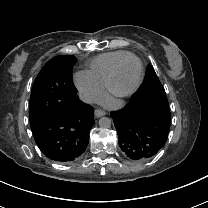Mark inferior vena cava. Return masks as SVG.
Listing matches in <instances>:
<instances>
[{"label":"inferior vena cava","instance_id":"1","mask_svg":"<svg viewBox=\"0 0 208 208\" xmlns=\"http://www.w3.org/2000/svg\"><path fill=\"white\" fill-rule=\"evenodd\" d=\"M79 98L85 103H93V95L86 91L79 92Z\"/></svg>","mask_w":208,"mask_h":208}]
</instances>
